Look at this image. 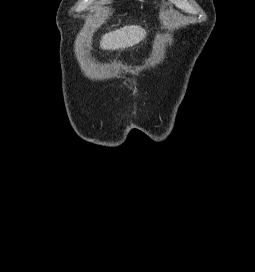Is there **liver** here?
I'll return each mask as SVG.
<instances>
[{
  "label": "liver",
  "mask_w": 255,
  "mask_h": 272,
  "mask_svg": "<svg viewBox=\"0 0 255 272\" xmlns=\"http://www.w3.org/2000/svg\"><path fill=\"white\" fill-rule=\"evenodd\" d=\"M146 37V31L137 25L125 26L103 35L100 47L103 50H116L132 47Z\"/></svg>",
  "instance_id": "liver-1"
}]
</instances>
